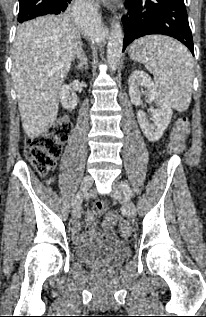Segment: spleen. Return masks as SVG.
<instances>
[{"instance_id": "obj_1", "label": "spleen", "mask_w": 206, "mask_h": 317, "mask_svg": "<svg viewBox=\"0 0 206 317\" xmlns=\"http://www.w3.org/2000/svg\"><path fill=\"white\" fill-rule=\"evenodd\" d=\"M129 56L154 75V84L170 107L178 111L189 107L193 58L184 45L166 36L151 35L134 41Z\"/></svg>"}]
</instances>
